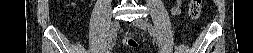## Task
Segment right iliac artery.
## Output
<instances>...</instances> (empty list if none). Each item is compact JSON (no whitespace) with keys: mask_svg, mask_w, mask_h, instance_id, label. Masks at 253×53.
Wrapping results in <instances>:
<instances>
[{"mask_svg":"<svg viewBox=\"0 0 253 53\" xmlns=\"http://www.w3.org/2000/svg\"><path fill=\"white\" fill-rule=\"evenodd\" d=\"M110 49H111V41H110V40H108L107 52H109V51H110Z\"/></svg>","mask_w":253,"mask_h":53,"instance_id":"obj_1","label":"right iliac artery"}]
</instances>
